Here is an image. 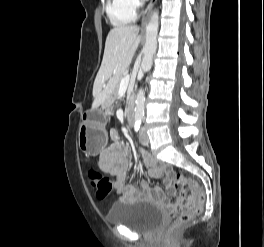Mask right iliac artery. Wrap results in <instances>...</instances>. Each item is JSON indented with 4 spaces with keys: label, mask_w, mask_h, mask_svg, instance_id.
Returning a JSON list of instances; mask_svg holds the SVG:
<instances>
[{
    "label": "right iliac artery",
    "mask_w": 264,
    "mask_h": 247,
    "mask_svg": "<svg viewBox=\"0 0 264 247\" xmlns=\"http://www.w3.org/2000/svg\"><path fill=\"white\" fill-rule=\"evenodd\" d=\"M140 125H141V121H135V123H134V129H135L136 132L139 131Z\"/></svg>",
    "instance_id": "1"
}]
</instances>
